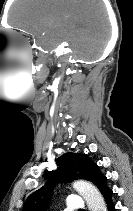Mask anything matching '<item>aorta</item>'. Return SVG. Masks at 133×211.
Listing matches in <instances>:
<instances>
[{
  "mask_svg": "<svg viewBox=\"0 0 133 211\" xmlns=\"http://www.w3.org/2000/svg\"><path fill=\"white\" fill-rule=\"evenodd\" d=\"M73 188L84 198L89 211H106V204L98 189L87 181H75Z\"/></svg>",
  "mask_w": 133,
  "mask_h": 211,
  "instance_id": "1",
  "label": "aorta"
}]
</instances>
